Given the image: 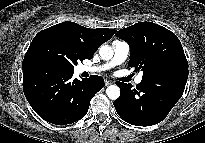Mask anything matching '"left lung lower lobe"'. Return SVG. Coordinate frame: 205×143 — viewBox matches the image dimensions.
Wrapping results in <instances>:
<instances>
[{"instance_id":"left-lung-lower-lobe-1","label":"left lung lower lobe","mask_w":205,"mask_h":143,"mask_svg":"<svg viewBox=\"0 0 205 143\" xmlns=\"http://www.w3.org/2000/svg\"><path fill=\"white\" fill-rule=\"evenodd\" d=\"M187 78V71L170 70L142 77L134 89L131 84L117 82L121 95L114 107L121 119L132 125L157 124L182 96Z\"/></svg>"}]
</instances>
